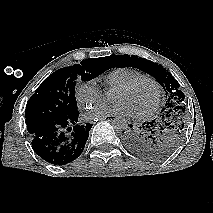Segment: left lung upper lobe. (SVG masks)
Segmentation results:
<instances>
[{"mask_svg":"<svg viewBox=\"0 0 213 213\" xmlns=\"http://www.w3.org/2000/svg\"><path fill=\"white\" fill-rule=\"evenodd\" d=\"M111 61L114 67L140 69L163 86L168 99L159 117L152 120V131L145 133L141 156L151 160L166 158L175 151L185 134L187 114L184 93L179 89V83L162 65L138 56L112 55Z\"/></svg>","mask_w":213,"mask_h":213,"instance_id":"obj_1","label":"left lung upper lobe"}]
</instances>
